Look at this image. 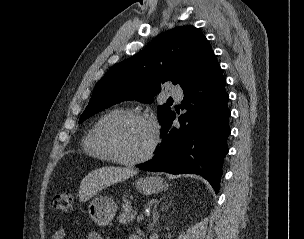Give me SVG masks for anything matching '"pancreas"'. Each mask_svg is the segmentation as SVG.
<instances>
[{
	"instance_id": "obj_1",
	"label": "pancreas",
	"mask_w": 304,
	"mask_h": 239,
	"mask_svg": "<svg viewBox=\"0 0 304 239\" xmlns=\"http://www.w3.org/2000/svg\"><path fill=\"white\" fill-rule=\"evenodd\" d=\"M135 218L134 211L132 209V206L130 202H124L122 204L121 212L118 217V221L121 224H128L132 222Z\"/></svg>"
}]
</instances>
